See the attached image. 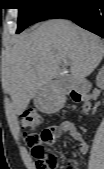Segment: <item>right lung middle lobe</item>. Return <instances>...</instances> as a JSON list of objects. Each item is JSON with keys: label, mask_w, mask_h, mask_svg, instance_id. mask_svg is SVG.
I'll use <instances>...</instances> for the list:
<instances>
[{"label": "right lung middle lobe", "mask_w": 104, "mask_h": 169, "mask_svg": "<svg viewBox=\"0 0 104 169\" xmlns=\"http://www.w3.org/2000/svg\"><path fill=\"white\" fill-rule=\"evenodd\" d=\"M19 6L17 33L29 25L51 18L76 0H16Z\"/></svg>", "instance_id": "1"}]
</instances>
